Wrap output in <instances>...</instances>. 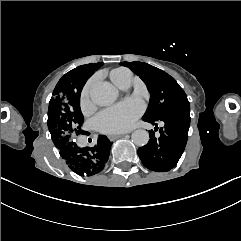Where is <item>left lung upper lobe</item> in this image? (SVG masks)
Segmentation results:
<instances>
[{"instance_id": "1", "label": "left lung upper lobe", "mask_w": 241, "mask_h": 241, "mask_svg": "<svg viewBox=\"0 0 241 241\" xmlns=\"http://www.w3.org/2000/svg\"><path fill=\"white\" fill-rule=\"evenodd\" d=\"M147 85L151 94L150 103L143 120L159 119L182 106H189L183 89L166 72L141 62H122Z\"/></svg>"}]
</instances>
